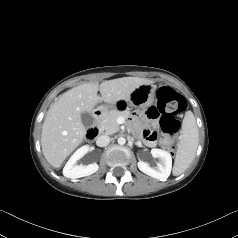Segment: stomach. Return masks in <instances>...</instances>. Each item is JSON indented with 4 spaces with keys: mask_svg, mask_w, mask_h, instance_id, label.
<instances>
[{
    "mask_svg": "<svg viewBox=\"0 0 238 238\" xmlns=\"http://www.w3.org/2000/svg\"><path fill=\"white\" fill-rule=\"evenodd\" d=\"M154 86L151 84H143L137 87L130 95L128 101H118L115 104H106L98 107V110L107 113L111 109H119L121 111L128 110L131 111L134 107L146 108L152 105L154 101Z\"/></svg>",
    "mask_w": 238,
    "mask_h": 238,
    "instance_id": "1",
    "label": "stomach"
}]
</instances>
